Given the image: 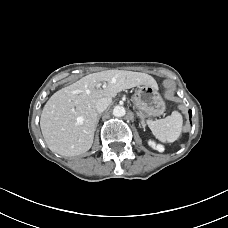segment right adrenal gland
<instances>
[{
    "label": "right adrenal gland",
    "mask_w": 228,
    "mask_h": 228,
    "mask_svg": "<svg viewBox=\"0 0 228 228\" xmlns=\"http://www.w3.org/2000/svg\"><path fill=\"white\" fill-rule=\"evenodd\" d=\"M100 117H101V114L98 115L96 124H98Z\"/></svg>",
    "instance_id": "obj_1"
}]
</instances>
